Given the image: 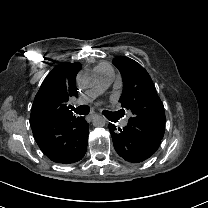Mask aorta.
Masks as SVG:
<instances>
[{
	"label": "aorta",
	"mask_w": 208,
	"mask_h": 208,
	"mask_svg": "<svg viewBox=\"0 0 208 208\" xmlns=\"http://www.w3.org/2000/svg\"><path fill=\"white\" fill-rule=\"evenodd\" d=\"M92 124L95 127H104L106 124V120L104 116L101 115H94L93 116V120H92Z\"/></svg>",
	"instance_id": "1"
}]
</instances>
